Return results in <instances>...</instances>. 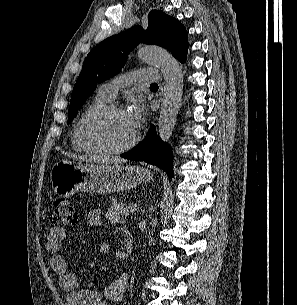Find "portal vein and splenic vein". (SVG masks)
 I'll return each mask as SVG.
<instances>
[{"label":"portal vein and splenic vein","instance_id":"18ae733b","mask_svg":"<svg viewBox=\"0 0 297 305\" xmlns=\"http://www.w3.org/2000/svg\"><path fill=\"white\" fill-rule=\"evenodd\" d=\"M137 209V205L129 206V212H134Z\"/></svg>","mask_w":297,"mask_h":305}]
</instances>
